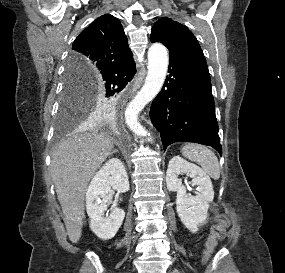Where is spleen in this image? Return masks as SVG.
I'll use <instances>...</instances> for the list:
<instances>
[{"instance_id": "obj_1", "label": "spleen", "mask_w": 285, "mask_h": 273, "mask_svg": "<svg viewBox=\"0 0 285 273\" xmlns=\"http://www.w3.org/2000/svg\"><path fill=\"white\" fill-rule=\"evenodd\" d=\"M181 153L189 160L198 163L211 178L216 180L220 178L218 159L206 146L188 143L181 148Z\"/></svg>"}]
</instances>
